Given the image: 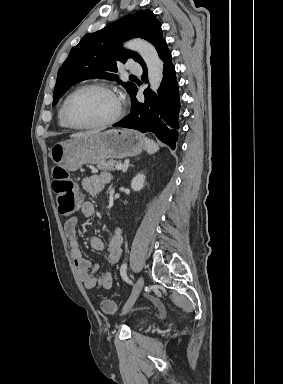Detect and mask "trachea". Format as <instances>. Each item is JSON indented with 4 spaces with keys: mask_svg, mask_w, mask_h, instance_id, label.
Wrapping results in <instances>:
<instances>
[{
    "mask_svg": "<svg viewBox=\"0 0 283 384\" xmlns=\"http://www.w3.org/2000/svg\"><path fill=\"white\" fill-rule=\"evenodd\" d=\"M130 77H135L134 75H130Z\"/></svg>",
    "mask_w": 283,
    "mask_h": 384,
    "instance_id": "obj_1",
    "label": "trachea"
}]
</instances>
